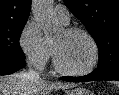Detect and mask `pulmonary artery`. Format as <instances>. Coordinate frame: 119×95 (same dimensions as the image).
<instances>
[{
	"mask_svg": "<svg viewBox=\"0 0 119 95\" xmlns=\"http://www.w3.org/2000/svg\"><path fill=\"white\" fill-rule=\"evenodd\" d=\"M54 16L57 20L62 22L63 24H68L70 20V15L68 9L62 5L58 4L54 8Z\"/></svg>",
	"mask_w": 119,
	"mask_h": 95,
	"instance_id": "pulmonary-artery-1",
	"label": "pulmonary artery"
}]
</instances>
